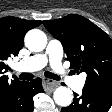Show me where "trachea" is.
I'll use <instances>...</instances> for the list:
<instances>
[{
    "mask_svg": "<svg viewBox=\"0 0 112 112\" xmlns=\"http://www.w3.org/2000/svg\"><path fill=\"white\" fill-rule=\"evenodd\" d=\"M44 75L47 77V78H50V79H54V80H60V77L54 73H51V72H48L46 71L44 73ZM34 77L33 74L31 73H22L19 75V78L21 80H31L32 78Z\"/></svg>",
    "mask_w": 112,
    "mask_h": 112,
    "instance_id": "trachea-1",
    "label": "trachea"
}]
</instances>
